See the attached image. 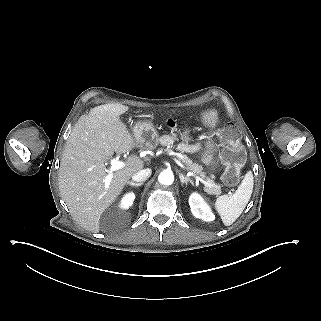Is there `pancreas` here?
<instances>
[{"label": "pancreas", "instance_id": "cf45deb5", "mask_svg": "<svg viewBox=\"0 0 321 321\" xmlns=\"http://www.w3.org/2000/svg\"><path fill=\"white\" fill-rule=\"evenodd\" d=\"M184 164L188 167L189 170H192L194 172L195 176L205 177V174L202 172V169L197 164L193 163L190 159H188L186 156H184ZM206 182L208 186H212L205 188V192L207 194H213L216 196H219L221 194L220 186H214L212 179L206 178Z\"/></svg>", "mask_w": 321, "mask_h": 321}]
</instances>
